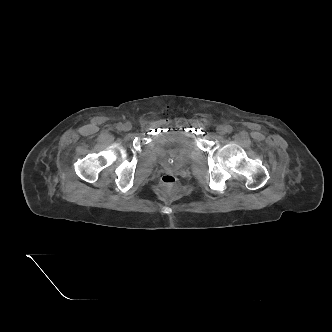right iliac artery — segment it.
Masks as SVG:
<instances>
[{
  "instance_id": "right-iliac-artery-1",
  "label": "right iliac artery",
  "mask_w": 332,
  "mask_h": 332,
  "mask_svg": "<svg viewBox=\"0 0 332 332\" xmlns=\"http://www.w3.org/2000/svg\"><path fill=\"white\" fill-rule=\"evenodd\" d=\"M122 126H123L122 123H118V124H117V129H118V130H121V129H122Z\"/></svg>"
}]
</instances>
